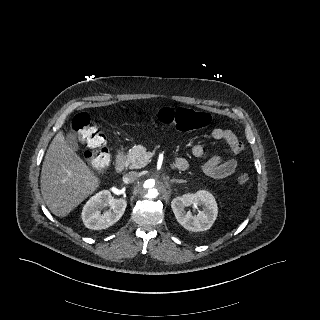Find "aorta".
I'll return each mask as SVG.
<instances>
[{"instance_id": "762f6f07", "label": "aorta", "mask_w": 320, "mask_h": 320, "mask_svg": "<svg viewBox=\"0 0 320 320\" xmlns=\"http://www.w3.org/2000/svg\"><path fill=\"white\" fill-rule=\"evenodd\" d=\"M161 182L159 179L150 177L142 183V196L149 200H155L160 195Z\"/></svg>"}]
</instances>
